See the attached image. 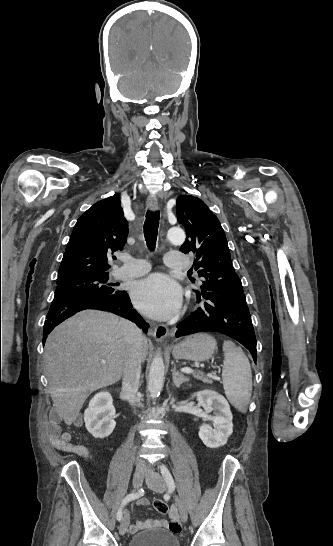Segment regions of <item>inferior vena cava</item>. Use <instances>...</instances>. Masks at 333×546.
<instances>
[{"label":"inferior vena cava","instance_id":"602c4592","mask_svg":"<svg viewBox=\"0 0 333 546\" xmlns=\"http://www.w3.org/2000/svg\"><path fill=\"white\" fill-rule=\"evenodd\" d=\"M123 328L124 340L126 342V354L123 370L122 393L128 402L134 406L136 404V393L139 388V379L141 374V355L143 335L142 331L127 320L120 321ZM137 467H144V461L137 459Z\"/></svg>","mask_w":333,"mask_h":546}]
</instances>
